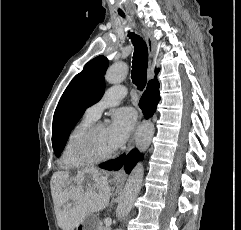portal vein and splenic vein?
I'll use <instances>...</instances> for the list:
<instances>
[{
	"label": "portal vein and splenic vein",
	"mask_w": 241,
	"mask_h": 230,
	"mask_svg": "<svg viewBox=\"0 0 241 230\" xmlns=\"http://www.w3.org/2000/svg\"><path fill=\"white\" fill-rule=\"evenodd\" d=\"M105 225L106 226H110L111 225V219L110 218L105 219Z\"/></svg>",
	"instance_id": "1"
}]
</instances>
